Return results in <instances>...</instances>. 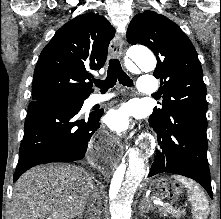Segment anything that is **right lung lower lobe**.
Returning <instances> with one entry per match:
<instances>
[{"label": "right lung lower lobe", "instance_id": "1", "mask_svg": "<svg viewBox=\"0 0 221 219\" xmlns=\"http://www.w3.org/2000/svg\"><path fill=\"white\" fill-rule=\"evenodd\" d=\"M86 98L88 96L29 104L14 181L39 164L78 161L86 153L99 159L105 147L93 134L100 126L103 110L80 117L82 105L79 102Z\"/></svg>", "mask_w": 221, "mask_h": 219}]
</instances>
